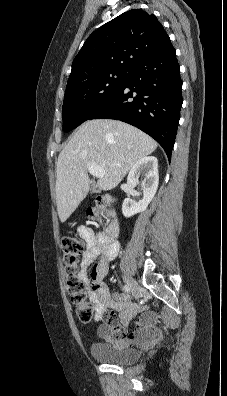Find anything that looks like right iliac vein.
<instances>
[{"instance_id":"obj_1","label":"right iliac vein","mask_w":227,"mask_h":396,"mask_svg":"<svg viewBox=\"0 0 227 396\" xmlns=\"http://www.w3.org/2000/svg\"><path fill=\"white\" fill-rule=\"evenodd\" d=\"M124 279H125L127 285L130 287L134 298L139 299L141 297V290H140L138 283L133 278H131L129 276H124Z\"/></svg>"}]
</instances>
